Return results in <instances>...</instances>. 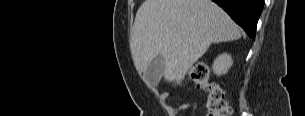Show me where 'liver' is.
<instances>
[{
	"mask_svg": "<svg viewBox=\"0 0 305 116\" xmlns=\"http://www.w3.org/2000/svg\"><path fill=\"white\" fill-rule=\"evenodd\" d=\"M240 37L236 23L211 0H145L136 14L130 49L141 72L162 55L165 81L181 85L211 43Z\"/></svg>",
	"mask_w": 305,
	"mask_h": 116,
	"instance_id": "6515ba94",
	"label": "liver"
}]
</instances>
